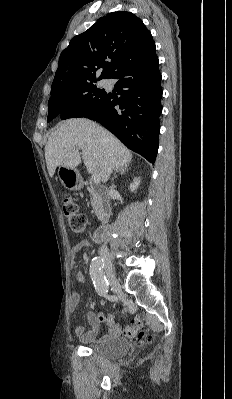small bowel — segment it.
<instances>
[{"label": "small bowel", "instance_id": "small-bowel-1", "mask_svg": "<svg viewBox=\"0 0 232 399\" xmlns=\"http://www.w3.org/2000/svg\"><path fill=\"white\" fill-rule=\"evenodd\" d=\"M93 245L86 242L77 243L71 250V255L77 258L79 264H83L86 260L85 254L81 253V249L84 247H92ZM78 280L81 283L85 282V276L83 273L78 275ZM80 300L76 295H71L69 301V308L74 311L78 308ZM86 320L91 327V330L85 331L83 325H77L75 332L79 336L81 344H87L89 342H95L99 345L110 346L117 343L122 333H134L142 329L143 324L140 320H136L129 326H123L115 322L113 314L105 312H95L88 310L86 312ZM101 323H105V327H101ZM104 331V332H102Z\"/></svg>", "mask_w": 232, "mask_h": 399}]
</instances>
